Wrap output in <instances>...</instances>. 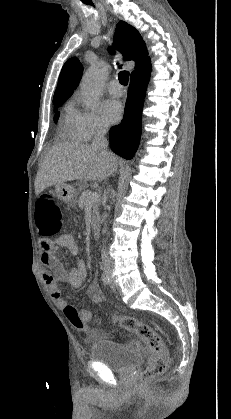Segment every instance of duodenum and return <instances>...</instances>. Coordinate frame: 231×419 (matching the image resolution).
<instances>
[{
  "label": "duodenum",
  "mask_w": 231,
  "mask_h": 419,
  "mask_svg": "<svg viewBox=\"0 0 231 419\" xmlns=\"http://www.w3.org/2000/svg\"><path fill=\"white\" fill-rule=\"evenodd\" d=\"M101 231V224L98 219H94L92 222V232L93 234L98 237Z\"/></svg>",
  "instance_id": "1"
}]
</instances>
